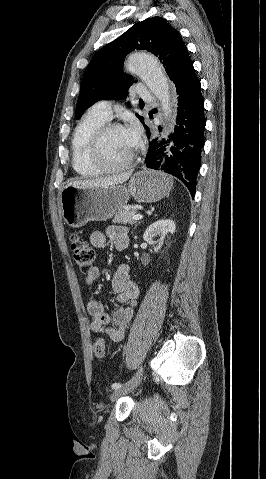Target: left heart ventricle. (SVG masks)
Instances as JSON below:
<instances>
[{
    "label": "left heart ventricle",
    "instance_id": "obj_1",
    "mask_svg": "<svg viewBox=\"0 0 266 479\" xmlns=\"http://www.w3.org/2000/svg\"><path fill=\"white\" fill-rule=\"evenodd\" d=\"M133 145L124 129H117L109 132L102 144L104 159L117 165L125 162L133 152Z\"/></svg>",
    "mask_w": 266,
    "mask_h": 479
}]
</instances>
